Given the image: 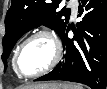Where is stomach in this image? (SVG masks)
<instances>
[{
    "mask_svg": "<svg viewBox=\"0 0 107 89\" xmlns=\"http://www.w3.org/2000/svg\"><path fill=\"white\" fill-rule=\"evenodd\" d=\"M30 89H65L64 85L56 87L55 85H45L44 88H30Z\"/></svg>",
    "mask_w": 107,
    "mask_h": 89,
    "instance_id": "1",
    "label": "stomach"
}]
</instances>
